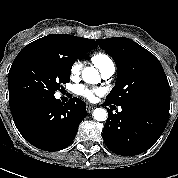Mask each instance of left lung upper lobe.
<instances>
[{
  "label": "left lung upper lobe",
  "instance_id": "5c2ea615",
  "mask_svg": "<svg viewBox=\"0 0 178 178\" xmlns=\"http://www.w3.org/2000/svg\"><path fill=\"white\" fill-rule=\"evenodd\" d=\"M97 44L117 66L116 83L106 101L169 115L170 86L161 63L151 52L125 37L98 39Z\"/></svg>",
  "mask_w": 178,
  "mask_h": 178
}]
</instances>
